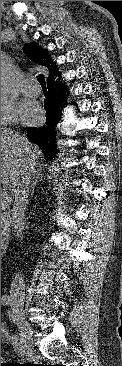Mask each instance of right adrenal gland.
Returning <instances> with one entry per match:
<instances>
[{
  "instance_id": "obj_1",
  "label": "right adrenal gland",
  "mask_w": 122,
  "mask_h": 366,
  "mask_svg": "<svg viewBox=\"0 0 122 366\" xmlns=\"http://www.w3.org/2000/svg\"><path fill=\"white\" fill-rule=\"evenodd\" d=\"M40 177H42L41 174L33 176V181H32V184H31V196H33V194H34V188H35L38 180L40 179Z\"/></svg>"
}]
</instances>
